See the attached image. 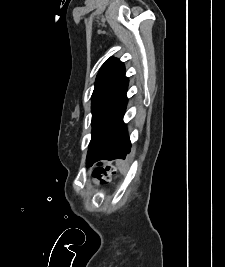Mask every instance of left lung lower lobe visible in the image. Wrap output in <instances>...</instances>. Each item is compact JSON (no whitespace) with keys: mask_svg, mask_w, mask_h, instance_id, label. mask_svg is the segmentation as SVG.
<instances>
[{"mask_svg":"<svg viewBox=\"0 0 225 267\" xmlns=\"http://www.w3.org/2000/svg\"><path fill=\"white\" fill-rule=\"evenodd\" d=\"M126 104L127 97L125 94L119 111L114 120L111 131L103 147L98 153L94 163L98 161H108L117 158L125 159L126 155L130 153L131 143L127 134L126 125L123 122Z\"/></svg>","mask_w":225,"mask_h":267,"instance_id":"left-lung-lower-lobe-1","label":"left lung lower lobe"}]
</instances>
